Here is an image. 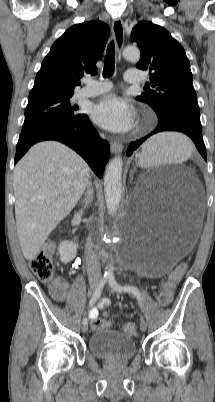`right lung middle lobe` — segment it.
Here are the masks:
<instances>
[{
	"label": "right lung middle lobe",
	"mask_w": 215,
	"mask_h": 402,
	"mask_svg": "<svg viewBox=\"0 0 215 402\" xmlns=\"http://www.w3.org/2000/svg\"><path fill=\"white\" fill-rule=\"evenodd\" d=\"M72 95L49 94L29 97L25 110V120L17 145L27 143L37 135L48 130L64 126L80 119L72 106Z\"/></svg>",
	"instance_id": "obj_1"
}]
</instances>
